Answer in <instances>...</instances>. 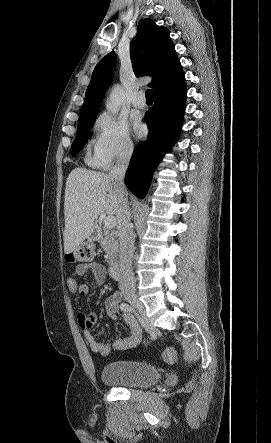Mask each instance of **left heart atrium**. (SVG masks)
Returning a JSON list of instances; mask_svg holds the SVG:
<instances>
[{
  "mask_svg": "<svg viewBox=\"0 0 271 443\" xmlns=\"http://www.w3.org/2000/svg\"><path fill=\"white\" fill-rule=\"evenodd\" d=\"M133 127H134L135 135L138 138H142L146 134V127L141 122V120L139 118H134L133 119Z\"/></svg>",
  "mask_w": 271,
  "mask_h": 443,
  "instance_id": "39dd6f15",
  "label": "left heart atrium"
}]
</instances>
